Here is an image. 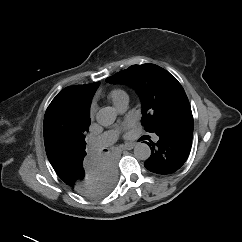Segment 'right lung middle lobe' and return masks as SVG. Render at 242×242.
I'll return each instance as SVG.
<instances>
[{
	"mask_svg": "<svg viewBox=\"0 0 242 242\" xmlns=\"http://www.w3.org/2000/svg\"><path fill=\"white\" fill-rule=\"evenodd\" d=\"M82 147H83V151H84V153H86V152H85V138H84L83 141H82Z\"/></svg>",
	"mask_w": 242,
	"mask_h": 242,
	"instance_id": "1",
	"label": "right lung middle lobe"
}]
</instances>
